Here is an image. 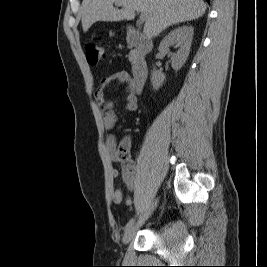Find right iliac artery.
Masks as SVG:
<instances>
[{
  "mask_svg": "<svg viewBox=\"0 0 267 267\" xmlns=\"http://www.w3.org/2000/svg\"><path fill=\"white\" fill-rule=\"evenodd\" d=\"M133 223H134V219H131V220L126 224V226H125V231H126L127 229H129V228L133 225Z\"/></svg>",
  "mask_w": 267,
  "mask_h": 267,
  "instance_id": "82829eb1",
  "label": "right iliac artery"
}]
</instances>
